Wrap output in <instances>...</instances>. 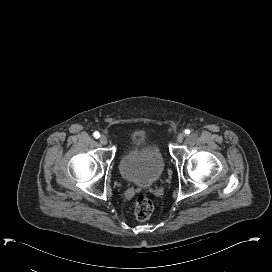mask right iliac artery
Wrapping results in <instances>:
<instances>
[{
    "instance_id": "obj_1",
    "label": "right iliac artery",
    "mask_w": 272,
    "mask_h": 272,
    "mask_svg": "<svg viewBox=\"0 0 272 272\" xmlns=\"http://www.w3.org/2000/svg\"><path fill=\"white\" fill-rule=\"evenodd\" d=\"M93 135H94V137H95V138H99V137H100V134H99V132H97V131H96V132H94V134H93Z\"/></svg>"
}]
</instances>
